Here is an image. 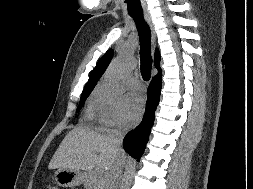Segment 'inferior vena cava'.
I'll return each instance as SVG.
<instances>
[{"label":"inferior vena cava","instance_id":"602c4592","mask_svg":"<svg viewBox=\"0 0 253 189\" xmlns=\"http://www.w3.org/2000/svg\"><path fill=\"white\" fill-rule=\"evenodd\" d=\"M124 138V131H116L111 137L113 148L117 151L118 162L112 167L107 174L103 187L104 189H117L119 180L122 175L123 166L129 163L128 151L121 148L122 140Z\"/></svg>","mask_w":253,"mask_h":189}]
</instances>
